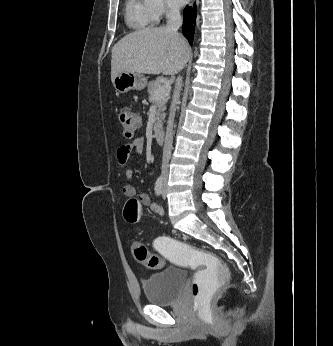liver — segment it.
<instances>
[{
	"instance_id": "6515ba94",
	"label": "liver",
	"mask_w": 333,
	"mask_h": 346,
	"mask_svg": "<svg viewBox=\"0 0 333 346\" xmlns=\"http://www.w3.org/2000/svg\"><path fill=\"white\" fill-rule=\"evenodd\" d=\"M183 36L166 27L145 28L130 33L112 49L111 80L122 72L175 75L190 58Z\"/></svg>"
}]
</instances>
